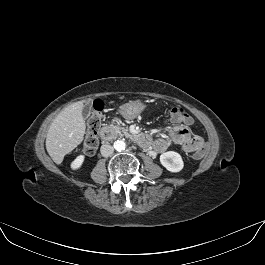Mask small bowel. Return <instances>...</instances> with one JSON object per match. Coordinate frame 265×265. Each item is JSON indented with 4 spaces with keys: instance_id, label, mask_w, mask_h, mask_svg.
<instances>
[{
    "instance_id": "c3829d8e",
    "label": "small bowel",
    "mask_w": 265,
    "mask_h": 265,
    "mask_svg": "<svg viewBox=\"0 0 265 265\" xmlns=\"http://www.w3.org/2000/svg\"><path fill=\"white\" fill-rule=\"evenodd\" d=\"M174 124L168 134L156 139L151 143L157 152H164L172 144H177L184 152L192 153L203 151L205 148L204 139L200 136H192L188 127L175 118H169Z\"/></svg>"
}]
</instances>
